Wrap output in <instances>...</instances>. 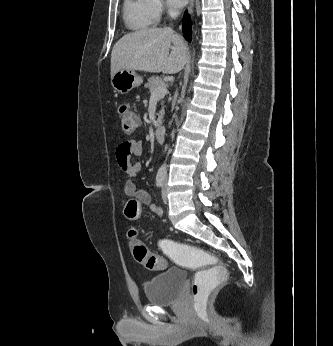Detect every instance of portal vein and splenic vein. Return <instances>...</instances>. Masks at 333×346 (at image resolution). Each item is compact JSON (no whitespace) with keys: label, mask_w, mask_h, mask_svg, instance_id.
Listing matches in <instances>:
<instances>
[{"label":"portal vein and splenic vein","mask_w":333,"mask_h":346,"mask_svg":"<svg viewBox=\"0 0 333 346\" xmlns=\"http://www.w3.org/2000/svg\"><path fill=\"white\" fill-rule=\"evenodd\" d=\"M167 92L168 91H167L166 86L158 88L151 94V99L159 100V99L163 98L167 94Z\"/></svg>","instance_id":"portal-vein-and-splenic-vein-1"}]
</instances>
